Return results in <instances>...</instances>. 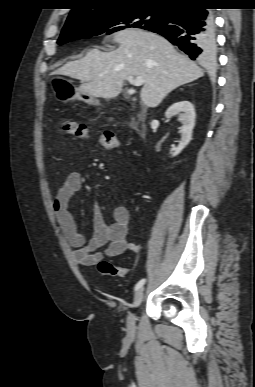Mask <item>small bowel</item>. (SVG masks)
Masks as SVG:
<instances>
[{
    "instance_id": "1",
    "label": "small bowel",
    "mask_w": 255,
    "mask_h": 387,
    "mask_svg": "<svg viewBox=\"0 0 255 387\" xmlns=\"http://www.w3.org/2000/svg\"><path fill=\"white\" fill-rule=\"evenodd\" d=\"M82 187V176L78 171H71L53 199V210L57 224L70 246L73 258L81 266H93L104 257H116L127 251L137 252L139 245L128 240L130 211L125 206H118L112 212V222H106L101 206L95 202L94 233L87 241L79 233L76 222L69 210L72 197ZM103 249V250H101Z\"/></svg>"
}]
</instances>
